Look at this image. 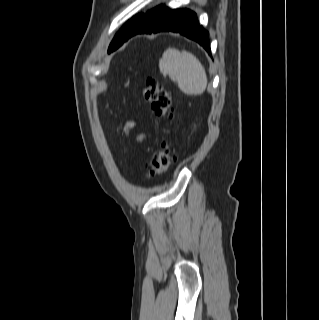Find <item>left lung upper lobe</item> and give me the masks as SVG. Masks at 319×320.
<instances>
[{
  "label": "left lung upper lobe",
  "mask_w": 319,
  "mask_h": 320,
  "mask_svg": "<svg viewBox=\"0 0 319 320\" xmlns=\"http://www.w3.org/2000/svg\"><path fill=\"white\" fill-rule=\"evenodd\" d=\"M144 14H139L135 17H133L130 21L124 24V26L116 33L114 39L112 40L110 47L108 49V52H112L116 50L118 47H120L124 40L126 35L129 33V31L132 29L134 24L143 16Z\"/></svg>",
  "instance_id": "obj_1"
}]
</instances>
